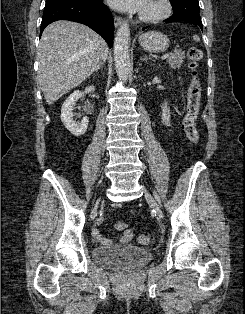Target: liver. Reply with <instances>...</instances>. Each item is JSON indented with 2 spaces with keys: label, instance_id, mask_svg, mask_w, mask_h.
Instances as JSON below:
<instances>
[{
  "label": "liver",
  "instance_id": "6515ba94",
  "mask_svg": "<svg viewBox=\"0 0 245 314\" xmlns=\"http://www.w3.org/2000/svg\"><path fill=\"white\" fill-rule=\"evenodd\" d=\"M105 41L89 27L56 21L43 31L37 57L38 82L48 105L79 86L101 61Z\"/></svg>",
  "mask_w": 245,
  "mask_h": 314
}]
</instances>
